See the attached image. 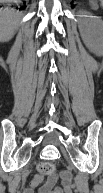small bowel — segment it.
<instances>
[{
  "label": "small bowel",
  "mask_w": 103,
  "mask_h": 193,
  "mask_svg": "<svg viewBox=\"0 0 103 193\" xmlns=\"http://www.w3.org/2000/svg\"><path fill=\"white\" fill-rule=\"evenodd\" d=\"M42 183V177H34L23 193H73L74 190V184L69 175L61 177L59 186H54V180L45 185Z\"/></svg>",
  "instance_id": "small-bowel-1"
}]
</instances>
